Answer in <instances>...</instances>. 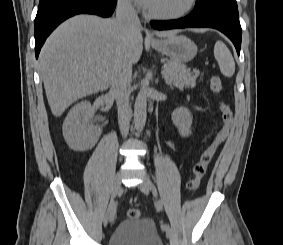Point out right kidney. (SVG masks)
Masks as SVG:
<instances>
[{
    "label": "right kidney",
    "instance_id": "1",
    "mask_svg": "<svg viewBox=\"0 0 283 245\" xmlns=\"http://www.w3.org/2000/svg\"><path fill=\"white\" fill-rule=\"evenodd\" d=\"M93 115L94 108L87 100L70 109L63 123V136L73 150H89L98 141L101 129L89 123Z\"/></svg>",
    "mask_w": 283,
    "mask_h": 245
}]
</instances>
